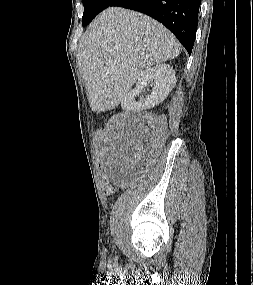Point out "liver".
Returning <instances> with one entry per match:
<instances>
[{
  "label": "liver",
  "instance_id": "1",
  "mask_svg": "<svg viewBox=\"0 0 253 285\" xmlns=\"http://www.w3.org/2000/svg\"><path fill=\"white\" fill-rule=\"evenodd\" d=\"M180 51L156 20L120 7L104 10L89 25L77 55L92 111L117 107L142 73Z\"/></svg>",
  "mask_w": 253,
  "mask_h": 285
}]
</instances>
